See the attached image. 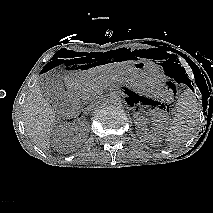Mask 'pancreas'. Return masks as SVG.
Here are the masks:
<instances>
[{
	"mask_svg": "<svg viewBox=\"0 0 213 213\" xmlns=\"http://www.w3.org/2000/svg\"><path fill=\"white\" fill-rule=\"evenodd\" d=\"M94 88H96V86H94V84H90L86 88H84L81 91L82 98L84 100L93 99L96 96V92H95Z\"/></svg>",
	"mask_w": 213,
	"mask_h": 213,
	"instance_id": "1",
	"label": "pancreas"
}]
</instances>
